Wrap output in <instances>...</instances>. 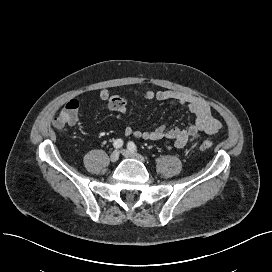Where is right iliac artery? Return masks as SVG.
<instances>
[{
	"label": "right iliac artery",
	"mask_w": 272,
	"mask_h": 272,
	"mask_svg": "<svg viewBox=\"0 0 272 272\" xmlns=\"http://www.w3.org/2000/svg\"><path fill=\"white\" fill-rule=\"evenodd\" d=\"M113 146L118 149L121 148L123 146V141L121 139H117L114 141Z\"/></svg>",
	"instance_id": "1"
}]
</instances>
